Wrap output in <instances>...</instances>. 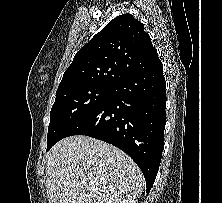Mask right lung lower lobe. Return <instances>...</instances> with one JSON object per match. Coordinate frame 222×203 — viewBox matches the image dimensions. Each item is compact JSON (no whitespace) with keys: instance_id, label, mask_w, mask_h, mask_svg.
<instances>
[{"instance_id":"right-lung-lower-lobe-1","label":"right lung lower lobe","mask_w":222,"mask_h":203,"mask_svg":"<svg viewBox=\"0 0 222 203\" xmlns=\"http://www.w3.org/2000/svg\"><path fill=\"white\" fill-rule=\"evenodd\" d=\"M165 107V79L158 58L120 79L99 106L69 125L55 143L86 135L118 147L139 166L149 193L162 157Z\"/></svg>"}]
</instances>
